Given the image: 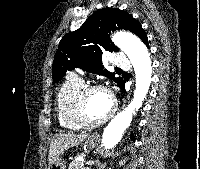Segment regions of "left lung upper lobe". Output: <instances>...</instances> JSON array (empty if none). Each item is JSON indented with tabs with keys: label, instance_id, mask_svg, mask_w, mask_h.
<instances>
[{
	"label": "left lung upper lobe",
	"instance_id": "obj_1",
	"mask_svg": "<svg viewBox=\"0 0 200 169\" xmlns=\"http://www.w3.org/2000/svg\"><path fill=\"white\" fill-rule=\"evenodd\" d=\"M125 29L136 34L143 42L147 40L140 22L124 10L118 8L101 9L93 13L76 31L64 35L54 56L52 65L53 81L60 80L74 68H81L113 79L118 86L123 81L115 78L114 73L103 69L102 54L104 51L117 52L109 38L114 30Z\"/></svg>",
	"mask_w": 200,
	"mask_h": 169
}]
</instances>
